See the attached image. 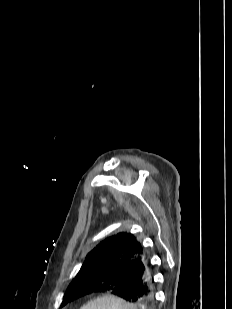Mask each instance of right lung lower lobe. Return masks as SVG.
I'll use <instances>...</instances> for the list:
<instances>
[{
	"mask_svg": "<svg viewBox=\"0 0 232 309\" xmlns=\"http://www.w3.org/2000/svg\"><path fill=\"white\" fill-rule=\"evenodd\" d=\"M118 270V273L128 274L129 279L126 282L122 280L112 283L104 281L100 286H89L86 294L110 291L134 303L137 309H154V281L150 262L147 259L138 263L130 262L118 267Z\"/></svg>",
	"mask_w": 232,
	"mask_h": 309,
	"instance_id": "obj_1",
	"label": "right lung lower lobe"
}]
</instances>
